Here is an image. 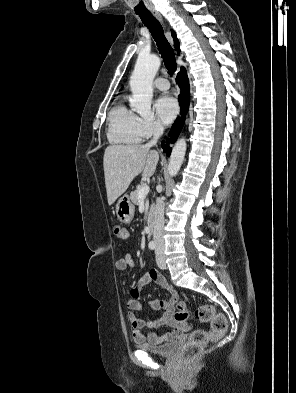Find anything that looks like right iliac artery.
<instances>
[{
  "label": "right iliac artery",
  "mask_w": 296,
  "mask_h": 393,
  "mask_svg": "<svg viewBox=\"0 0 296 393\" xmlns=\"http://www.w3.org/2000/svg\"><path fill=\"white\" fill-rule=\"evenodd\" d=\"M148 246H149V248H150L151 250H154L155 247H156V243L153 242V241H151V242L148 244Z\"/></svg>",
  "instance_id": "1"
}]
</instances>
